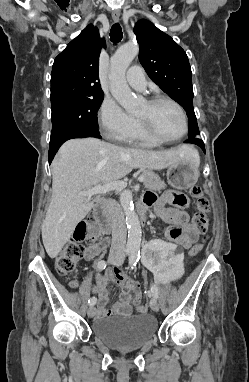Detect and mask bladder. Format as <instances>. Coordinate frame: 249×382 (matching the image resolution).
<instances>
[{"label": "bladder", "mask_w": 249, "mask_h": 382, "mask_svg": "<svg viewBox=\"0 0 249 382\" xmlns=\"http://www.w3.org/2000/svg\"><path fill=\"white\" fill-rule=\"evenodd\" d=\"M93 334L107 346L121 351L136 350L157 334L156 319L149 314L108 316L94 321Z\"/></svg>", "instance_id": "bladder-1"}]
</instances>
